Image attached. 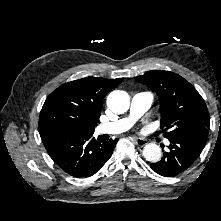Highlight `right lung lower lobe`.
Here are the masks:
<instances>
[{"mask_svg": "<svg viewBox=\"0 0 221 221\" xmlns=\"http://www.w3.org/2000/svg\"><path fill=\"white\" fill-rule=\"evenodd\" d=\"M93 133L50 131L41 139L52 160L71 176L90 177L111 157L116 140H96Z\"/></svg>", "mask_w": 221, "mask_h": 221, "instance_id": "right-lung-lower-lobe-1", "label": "right lung lower lobe"}]
</instances>
